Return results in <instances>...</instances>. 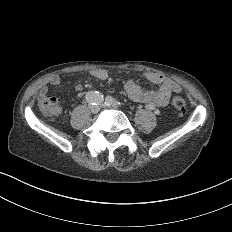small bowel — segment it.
<instances>
[{
	"mask_svg": "<svg viewBox=\"0 0 232 232\" xmlns=\"http://www.w3.org/2000/svg\"><path fill=\"white\" fill-rule=\"evenodd\" d=\"M109 71L107 69H95L93 74L97 80H104L108 76ZM146 77L156 83L159 86V90H150L140 88L136 81L129 79L125 83V88L129 95V98L134 102L153 103L158 106H165L169 101L171 93L177 92L180 89L179 84L172 78L165 77L158 72L149 71ZM93 83L91 78L79 79V84L90 85ZM65 84H69V81L64 80L61 77H53L50 80V85L54 88L61 87ZM48 86H42L40 92L42 94L48 93Z\"/></svg>",
	"mask_w": 232,
	"mask_h": 232,
	"instance_id": "obj_1",
	"label": "small bowel"
}]
</instances>
